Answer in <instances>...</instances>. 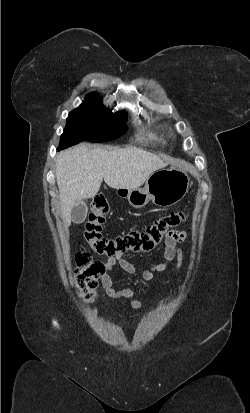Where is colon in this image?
Wrapping results in <instances>:
<instances>
[{
    "label": "colon",
    "mask_w": 250,
    "mask_h": 413,
    "mask_svg": "<svg viewBox=\"0 0 250 413\" xmlns=\"http://www.w3.org/2000/svg\"><path fill=\"white\" fill-rule=\"evenodd\" d=\"M109 206L103 196L93 199L90 214L85 226L84 236L92 250L99 255L115 256L125 252H148L166 237V232L177 227L185 220L182 211L172 212L148 225L144 230L131 231L114 239L102 235V226ZM77 283L80 291L88 301L96 296L97 280L105 269L102 263L92 261L88 253L78 254Z\"/></svg>",
    "instance_id": "obj_1"
}]
</instances>
